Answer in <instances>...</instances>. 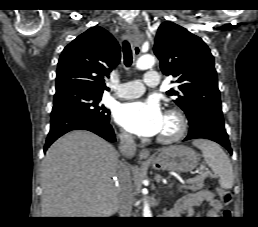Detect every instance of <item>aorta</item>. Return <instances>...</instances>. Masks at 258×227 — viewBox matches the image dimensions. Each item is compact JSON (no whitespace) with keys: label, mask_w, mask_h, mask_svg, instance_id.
<instances>
[{"label":"aorta","mask_w":258,"mask_h":227,"mask_svg":"<svg viewBox=\"0 0 258 227\" xmlns=\"http://www.w3.org/2000/svg\"><path fill=\"white\" fill-rule=\"evenodd\" d=\"M155 63V58L152 55H143L137 62L136 67L140 70L151 68ZM143 217H152L151 210L147 201L144 202Z\"/></svg>","instance_id":"aorta-1"}]
</instances>
